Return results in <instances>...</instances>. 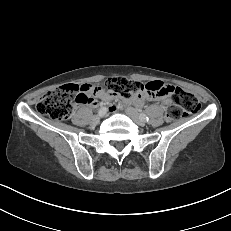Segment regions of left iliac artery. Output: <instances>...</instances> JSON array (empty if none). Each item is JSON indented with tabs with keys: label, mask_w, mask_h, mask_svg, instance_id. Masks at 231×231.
Returning <instances> with one entry per match:
<instances>
[{
	"label": "left iliac artery",
	"mask_w": 231,
	"mask_h": 231,
	"mask_svg": "<svg viewBox=\"0 0 231 231\" xmlns=\"http://www.w3.org/2000/svg\"><path fill=\"white\" fill-rule=\"evenodd\" d=\"M141 116L145 121H149V117L146 114H141Z\"/></svg>",
	"instance_id": "obj_1"
}]
</instances>
